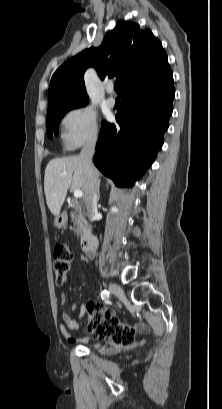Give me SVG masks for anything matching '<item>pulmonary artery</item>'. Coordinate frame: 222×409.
<instances>
[{"label":"pulmonary artery","mask_w":222,"mask_h":409,"mask_svg":"<svg viewBox=\"0 0 222 409\" xmlns=\"http://www.w3.org/2000/svg\"><path fill=\"white\" fill-rule=\"evenodd\" d=\"M112 92H113V87H112V86H109V87H108V94H109V96H108V98H107V105H108L109 107H114V106H115V103H116L115 98L112 96Z\"/></svg>","instance_id":"e3ab8cb5"}]
</instances>
